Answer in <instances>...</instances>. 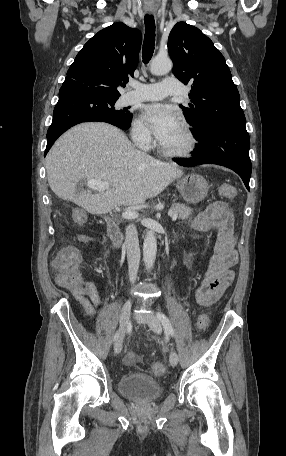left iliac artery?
<instances>
[{"instance_id":"1","label":"left iliac artery","mask_w":286,"mask_h":456,"mask_svg":"<svg viewBox=\"0 0 286 456\" xmlns=\"http://www.w3.org/2000/svg\"><path fill=\"white\" fill-rule=\"evenodd\" d=\"M157 317L160 320V322L162 323V325L165 329V332L171 336H174V330H173V327H172L171 322L168 319V317L161 312L157 313Z\"/></svg>"}]
</instances>
